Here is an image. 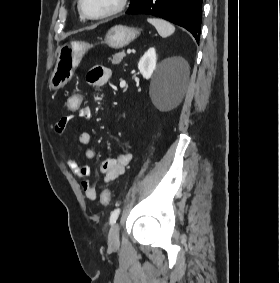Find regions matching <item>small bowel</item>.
Wrapping results in <instances>:
<instances>
[{
	"instance_id": "1",
	"label": "small bowel",
	"mask_w": 280,
	"mask_h": 283,
	"mask_svg": "<svg viewBox=\"0 0 280 283\" xmlns=\"http://www.w3.org/2000/svg\"><path fill=\"white\" fill-rule=\"evenodd\" d=\"M111 71L106 67H97L91 70L87 74V80L91 85L104 86L110 79ZM67 103V102H66ZM81 119H88L91 116V110L88 107L79 108L76 112ZM72 117L69 115L62 116L54 126L57 133H62L66 126L72 121ZM79 142L84 146V158L86 160H92L96 156L94 147L92 146L91 135L87 131H83L79 134ZM131 154L128 152L117 153L113 157H107L100 161L99 171L103 175V183L108 184L115 181L121 176L126 166L131 161ZM67 167L76 176L81 178V188L88 199H95L97 196L96 187L90 182V167L87 164H79L72 158L65 160Z\"/></svg>"
}]
</instances>
